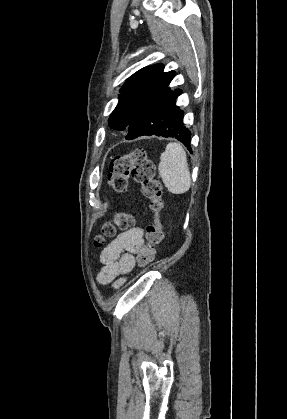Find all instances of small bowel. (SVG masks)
<instances>
[{"label": "small bowel", "mask_w": 287, "mask_h": 419, "mask_svg": "<svg viewBox=\"0 0 287 419\" xmlns=\"http://www.w3.org/2000/svg\"><path fill=\"white\" fill-rule=\"evenodd\" d=\"M143 244V229L140 227L120 233L100 254L103 267L98 273V281L101 284L113 282L115 288L122 286L125 281L124 276L134 267L133 254Z\"/></svg>", "instance_id": "obj_1"}]
</instances>
